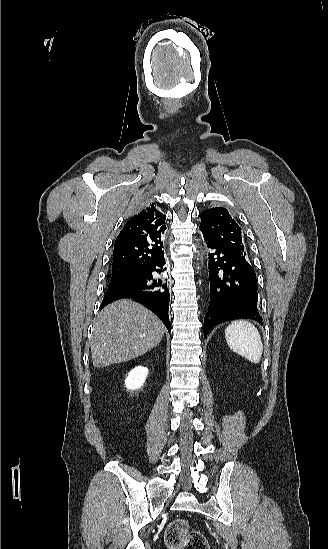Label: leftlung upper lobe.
Segmentation results:
<instances>
[{
    "mask_svg": "<svg viewBox=\"0 0 328 549\" xmlns=\"http://www.w3.org/2000/svg\"><path fill=\"white\" fill-rule=\"evenodd\" d=\"M199 216V229L204 239L245 259L247 254L242 241L241 227L227 209L213 207L203 211Z\"/></svg>",
    "mask_w": 328,
    "mask_h": 549,
    "instance_id": "obj_1",
    "label": "left lung upper lobe"
}]
</instances>
